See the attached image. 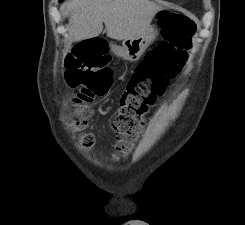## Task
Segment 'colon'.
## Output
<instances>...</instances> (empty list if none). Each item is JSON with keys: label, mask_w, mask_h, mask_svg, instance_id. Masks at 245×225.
Wrapping results in <instances>:
<instances>
[{"label": "colon", "mask_w": 245, "mask_h": 225, "mask_svg": "<svg viewBox=\"0 0 245 225\" xmlns=\"http://www.w3.org/2000/svg\"><path fill=\"white\" fill-rule=\"evenodd\" d=\"M158 22L163 40L133 68L127 88L121 95V106L113 122L116 149L129 153L147 124L149 110L159 101L169 83L182 71L188 60V48L196 25L171 10L160 12ZM107 45L97 38L76 42L63 63L62 76L74 88L77 117L74 129L83 133L93 114L92 102L105 96L112 84L113 69ZM82 144L92 145V136L83 134Z\"/></svg>", "instance_id": "1"}]
</instances>
